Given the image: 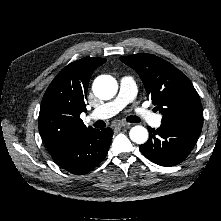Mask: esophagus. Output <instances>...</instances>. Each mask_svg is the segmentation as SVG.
Instances as JSON below:
<instances>
[{
	"label": "esophagus",
	"mask_w": 221,
	"mask_h": 221,
	"mask_svg": "<svg viewBox=\"0 0 221 221\" xmlns=\"http://www.w3.org/2000/svg\"><path fill=\"white\" fill-rule=\"evenodd\" d=\"M130 123H127V122H119L118 124H117V127L118 128H122V127H126V128H128V127H130Z\"/></svg>",
	"instance_id": "obj_1"
}]
</instances>
